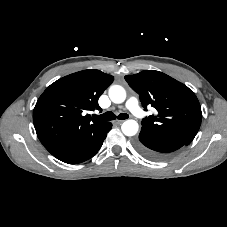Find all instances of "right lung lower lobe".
<instances>
[{"mask_svg": "<svg viewBox=\"0 0 227 227\" xmlns=\"http://www.w3.org/2000/svg\"><path fill=\"white\" fill-rule=\"evenodd\" d=\"M111 128L112 124L108 122L101 130L86 134L76 145L67 147L53 155L68 164L84 162L98 152Z\"/></svg>", "mask_w": 227, "mask_h": 227, "instance_id": "98d812e1", "label": "right lung lower lobe"}]
</instances>
